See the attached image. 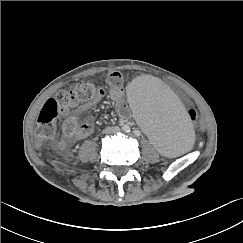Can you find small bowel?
<instances>
[{
	"label": "small bowel",
	"instance_id": "c3829d8e",
	"mask_svg": "<svg viewBox=\"0 0 243 243\" xmlns=\"http://www.w3.org/2000/svg\"><path fill=\"white\" fill-rule=\"evenodd\" d=\"M107 80L110 85V89L107 92L105 87L102 86L98 87L96 91L97 95L102 97L105 96L107 92L110 99L115 104L116 111L119 117L123 121H125L130 117V109L126 104L125 95L122 89V85H123L122 75L117 71H111L108 75ZM85 108L73 112L65 119L63 123L62 126L63 137L68 142H74V141L84 139L93 132L92 120L82 119V113Z\"/></svg>",
	"mask_w": 243,
	"mask_h": 243
}]
</instances>
